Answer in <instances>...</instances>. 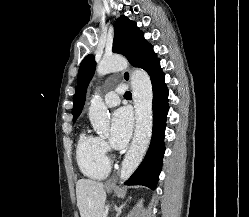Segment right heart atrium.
Segmentation results:
<instances>
[{
  "mask_svg": "<svg viewBox=\"0 0 249 217\" xmlns=\"http://www.w3.org/2000/svg\"><path fill=\"white\" fill-rule=\"evenodd\" d=\"M100 146H101V149L103 150L104 153L108 152V147L106 145V143L100 139Z\"/></svg>",
  "mask_w": 249,
  "mask_h": 217,
  "instance_id": "obj_1",
  "label": "right heart atrium"
}]
</instances>
